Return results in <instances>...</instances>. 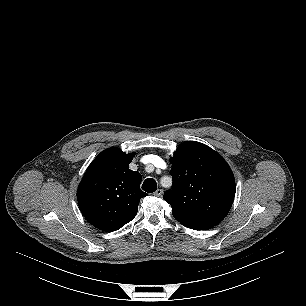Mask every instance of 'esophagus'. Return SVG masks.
Returning a JSON list of instances; mask_svg holds the SVG:
<instances>
[{
    "label": "esophagus",
    "mask_w": 306,
    "mask_h": 306,
    "mask_svg": "<svg viewBox=\"0 0 306 306\" xmlns=\"http://www.w3.org/2000/svg\"><path fill=\"white\" fill-rule=\"evenodd\" d=\"M162 194H163V190L162 189H157L154 192V196H156V197H160Z\"/></svg>",
    "instance_id": "esophagus-1"
}]
</instances>
